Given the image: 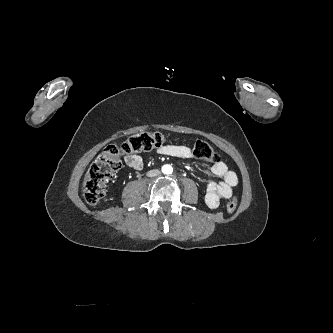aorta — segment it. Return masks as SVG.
Segmentation results:
<instances>
[{"instance_id": "aorta-1", "label": "aorta", "mask_w": 333, "mask_h": 333, "mask_svg": "<svg viewBox=\"0 0 333 333\" xmlns=\"http://www.w3.org/2000/svg\"><path fill=\"white\" fill-rule=\"evenodd\" d=\"M162 172H163L164 174H172V172H173V168H172L170 165H164V166L162 167Z\"/></svg>"}]
</instances>
